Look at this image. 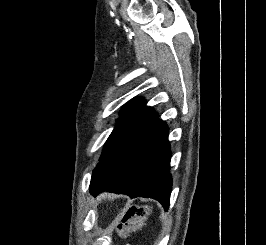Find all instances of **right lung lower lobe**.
<instances>
[{"label":"right lung lower lobe","instance_id":"98d812e1","mask_svg":"<svg viewBox=\"0 0 266 245\" xmlns=\"http://www.w3.org/2000/svg\"><path fill=\"white\" fill-rule=\"evenodd\" d=\"M170 157L166 123L149 121L98 163L90 192L153 198L167 210L172 187Z\"/></svg>","mask_w":266,"mask_h":245}]
</instances>
